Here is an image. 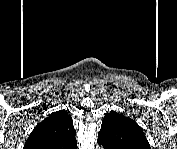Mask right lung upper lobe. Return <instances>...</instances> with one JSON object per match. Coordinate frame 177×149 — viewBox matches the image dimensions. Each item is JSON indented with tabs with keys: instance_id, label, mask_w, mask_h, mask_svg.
<instances>
[{
	"instance_id": "obj_1",
	"label": "right lung upper lobe",
	"mask_w": 177,
	"mask_h": 149,
	"mask_svg": "<svg viewBox=\"0 0 177 149\" xmlns=\"http://www.w3.org/2000/svg\"><path fill=\"white\" fill-rule=\"evenodd\" d=\"M76 132L71 116L57 111L45 118L28 137L26 149H76Z\"/></svg>"
}]
</instances>
